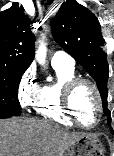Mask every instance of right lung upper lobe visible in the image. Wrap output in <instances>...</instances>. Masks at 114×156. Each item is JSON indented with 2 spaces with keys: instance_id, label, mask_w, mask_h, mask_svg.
<instances>
[{
  "instance_id": "right-lung-upper-lobe-1",
  "label": "right lung upper lobe",
  "mask_w": 114,
  "mask_h": 156,
  "mask_svg": "<svg viewBox=\"0 0 114 156\" xmlns=\"http://www.w3.org/2000/svg\"><path fill=\"white\" fill-rule=\"evenodd\" d=\"M35 36L17 3L0 12V66L27 69L34 59Z\"/></svg>"
}]
</instances>
